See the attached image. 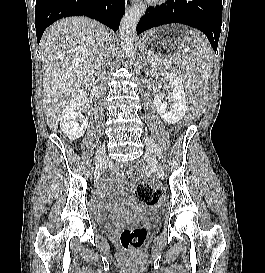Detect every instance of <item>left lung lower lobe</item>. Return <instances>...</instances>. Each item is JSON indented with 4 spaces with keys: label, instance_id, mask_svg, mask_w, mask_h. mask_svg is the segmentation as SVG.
I'll list each match as a JSON object with an SVG mask.
<instances>
[{
    "label": "left lung lower lobe",
    "instance_id": "0a47b994",
    "mask_svg": "<svg viewBox=\"0 0 265 273\" xmlns=\"http://www.w3.org/2000/svg\"><path fill=\"white\" fill-rule=\"evenodd\" d=\"M168 23H182L201 30L216 51L222 25V0H168L167 5L149 7L137 25V34Z\"/></svg>",
    "mask_w": 265,
    "mask_h": 273
}]
</instances>
